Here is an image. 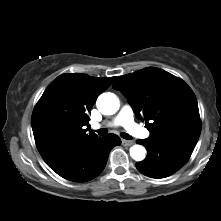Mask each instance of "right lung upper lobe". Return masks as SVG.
I'll list each match as a JSON object with an SVG mask.
<instances>
[{
	"instance_id": "cb5924a9",
	"label": "right lung upper lobe",
	"mask_w": 221,
	"mask_h": 221,
	"mask_svg": "<svg viewBox=\"0 0 221 221\" xmlns=\"http://www.w3.org/2000/svg\"><path fill=\"white\" fill-rule=\"evenodd\" d=\"M114 79L74 73L62 74L51 82L31 118L36 146L44 160L97 138L84 126H89L88 113L97 97Z\"/></svg>"
}]
</instances>
